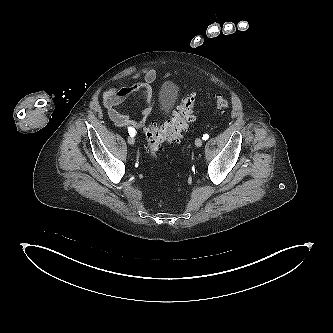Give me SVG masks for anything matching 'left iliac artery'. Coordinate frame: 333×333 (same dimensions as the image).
Instances as JSON below:
<instances>
[{"label": "left iliac artery", "instance_id": "left-iliac-artery-1", "mask_svg": "<svg viewBox=\"0 0 333 333\" xmlns=\"http://www.w3.org/2000/svg\"><path fill=\"white\" fill-rule=\"evenodd\" d=\"M208 138H209V135H208V134H203V137H202L203 140L206 141V140H208Z\"/></svg>", "mask_w": 333, "mask_h": 333}]
</instances>
